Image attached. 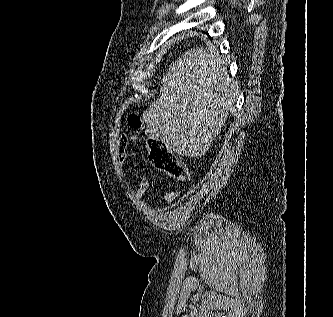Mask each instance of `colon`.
<instances>
[{
	"mask_svg": "<svg viewBox=\"0 0 333 317\" xmlns=\"http://www.w3.org/2000/svg\"><path fill=\"white\" fill-rule=\"evenodd\" d=\"M127 122L134 129L142 128L141 119L137 115H129ZM146 149L150 162L158 170L168 174L177 181H188L190 179L188 166L155 134H147Z\"/></svg>",
	"mask_w": 333,
	"mask_h": 317,
	"instance_id": "colon-1",
	"label": "colon"
}]
</instances>
